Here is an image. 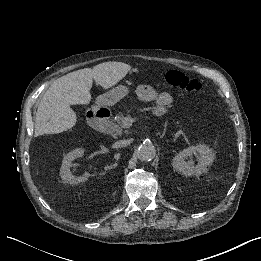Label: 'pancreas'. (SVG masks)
Instances as JSON below:
<instances>
[{
	"mask_svg": "<svg viewBox=\"0 0 261 261\" xmlns=\"http://www.w3.org/2000/svg\"><path fill=\"white\" fill-rule=\"evenodd\" d=\"M125 118V115L124 114H121L118 119L117 118H114L112 119L111 123H116V124H121V122L124 120ZM120 126V125H119Z\"/></svg>",
	"mask_w": 261,
	"mask_h": 261,
	"instance_id": "cf45deb5",
	"label": "pancreas"
}]
</instances>
